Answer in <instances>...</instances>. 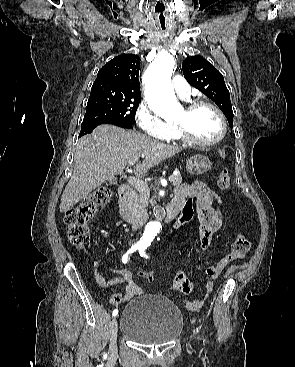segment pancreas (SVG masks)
Listing matches in <instances>:
<instances>
[{
    "instance_id": "cf45deb5",
    "label": "pancreas",
    "mask_w": 295,
    "mask_h": 367,
    "mask_svg": "<svg viewBox=\"0 0 295 367\" xmlns=\"http://www.w3.org/2000/svg\"><path fill=\"white\" fill-rule=\"evenodd\" d=\"M172 176L173 180L171 182L173 186H177L182 183V177L180 174ZM148 198H149V190L147 188V185L145 184V188L134 186V190H132L127 195L126 200L132 209L142 212L148 205Z\"/></svg>"
}]
</instances>
